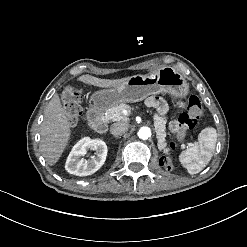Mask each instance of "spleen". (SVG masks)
<instances>
[{
	"instance_id": "1",
	"label": "spleen",
	"mask_w": 247,
	"mask_h": 247,
	"mask_svg": "<svg viewBox=\"0 0 247 247\" xmlns=\"http://www.w3.org/2000/svg\"><path fill=\"white\" fill-rule=\"evenodd\" d=\"M199 144L182 151L179 161L189 174L201 172L212 158L217 142V131L213 127L204 128L198 136Z\"/></svg>"
}]
</instances>
